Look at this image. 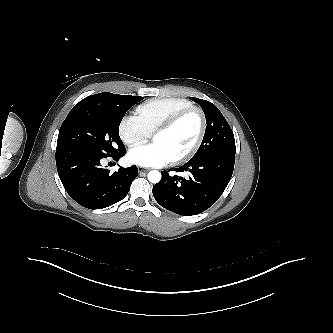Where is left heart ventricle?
<instances>
[{"instance_id":"obj_1","label":"left heart ventricle","mask_w":333,"mask_h":333,"mask_svg":"<svg viewBox=\"0 0 333 333\" xmlns=\"http://www.w3.org/2000/svg\"><path fill=\"white\" fill-rule=\"evenodd\" d=\"M199 128V116L192 113L171 130L156 134L153 137V142L161 144L173 159L185 152L194 143Z\"/></svg>"}]
</instances>
